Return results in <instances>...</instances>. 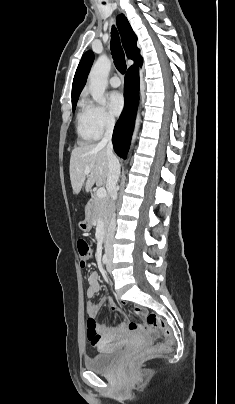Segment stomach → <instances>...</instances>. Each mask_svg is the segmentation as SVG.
Instances as JSON below:
<instances>
[{"instance_id": "stomach-1", "label": "stomach", "mask_w": 235, "mask_h": 404, "mask_svg": "<svg viewBox=\"0 0 235 404\" xmlns=\"http://www.w3.org/2000/svg\"><path fill=\"white\" fill-rule=\"evenodd\" d=\"M91 227H92L91 213H90V210L87 209L86 218H85V220H83L79 223V228L84 232H88L91 230Z\"/></svg>"}]
</instances>
